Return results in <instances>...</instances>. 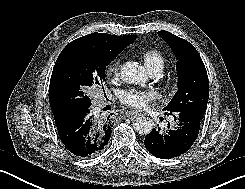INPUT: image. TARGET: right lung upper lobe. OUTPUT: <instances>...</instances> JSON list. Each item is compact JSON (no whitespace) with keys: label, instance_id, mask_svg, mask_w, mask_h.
Here are the masks:
<instances>
[{"label":"right lung upper lobe","instance_id":"obj_1","mask_svg":"<svg viewBox=\"0 0 245 189\" xmlns=\"http://www.w3.org/2000/svg\"><path fill=\"white\" fill-rule=\"evenodd\" d=\"M136 37V35L115 36L106 33H91L69 43L60 54L62 55L73 48H89L96 50L107 57L115 58L125 47L131 44ZM49 101L53 114L62 110L53 103L50 92Z\"/></svg>","mask_w":245,"mask_h":189}]
</instances>
